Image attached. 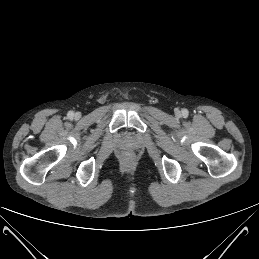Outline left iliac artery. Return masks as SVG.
<instances>
[{
    "label": "left iliac artery",
    "mask_w": 259,
    "mask_h": 259,
    "mask_svg": "<svg viewBox=\"0 0 259 259\" xmlns=\"http://www.w3.org/2000/svg\"><path fill=\"white\" fill-rule=\"evenodd\" d=\"M188 114H189V112H188L187 109H183V110H182V115H183L184 117H187Z\"/></svg>",
    "instance_id": "44dca946"
}]
</instances>
